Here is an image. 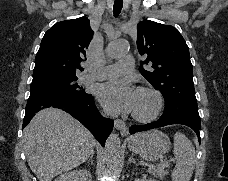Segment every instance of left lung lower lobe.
I'll use <instances>...</instances> for the list:
<instances>
[{
  "mask_svg": "<svg viewBox=\"0 0 228 181\" xmlns=\"http://www.w3.org/2000/svg\"><path fill=\"white\" fill-rule=\"evenodd\" d=\"M171 124H182V125H186V126L192 128L196 132V134L200 140L201 124H192V123H186V122H182V121L167 122V121H162L161 119H158L155 122L145 124V125H133L132 127H130L129 132H130V134H134L136 132L146 131V130H150V129H154V128L163 127L166 125H171Z\"/></svg>",
  "mask_w": 228,
  "mask_h": 181,
  "instance_id": "left-lung-lower-lobe-1",
  "label": "left lung lower lobe"
}]
</instances>
